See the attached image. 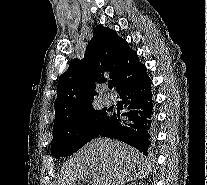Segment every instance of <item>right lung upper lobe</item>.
Instances as JSON below:
<instances>
[{
  "label": "right lung upper lobe",
  "mask_w": 207,
  "mask_h": 185,
  "mask_svg": "<svg viewBox=\"0 0 207 185\" xmlns=\"http://www.w3.org/2000/svg\"><path fill=\"white\" fill-rule=\"evenodd\" d=\"M145 71L127 41L112 29L96 26L83 60L73 59L59 78L53 128L95 110L92 103L99 84L111 79L117 87Z\"/></svg>",
  "instance_id": "1"
}]
</instances>
